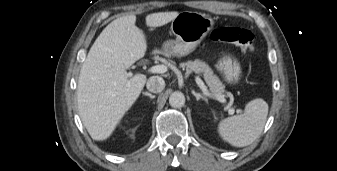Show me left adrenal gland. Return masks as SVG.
I'll return each instance as SVG.
<instances>
[{"label":"left adrenal gland","mask_w":337,"mask_h":171,"mask_svg":"<svg viewBox=\"0 0 337 171\" xmlns=\"http://www.w3.org/2000/svg\"><path fill=\"white\" fill-rule=\"evenodd\" d=\"M192 94L196 97V100L199 101L200 99L204 100L206 103H208V99L201 95L200 93L195 92L194 90H192Z\"/></svg>","instance_id":"left-adrenal-gland-1"}]
</instances>
